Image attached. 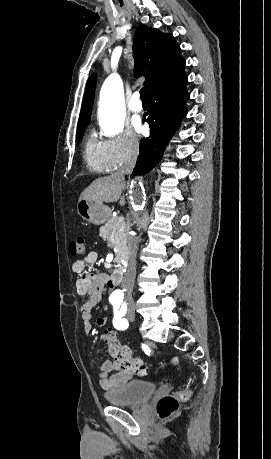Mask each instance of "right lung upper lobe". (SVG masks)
I'll return each instance as SVG.
<instances>
[{
	"mask_svg": "<svg viewBox=\"0 0 271 459\" xmlns=\"http://www.w3.org/2000/svg\"><path fill=\"white\" fill-rule=\"evenodd\" d=\"M135 77L146 78L148 93L162 81L184 71L185 60L172 34H164L146 25H140L134 43ZM96 77L92 75L85 89L79 121L90 120Z\"/></svg>",
	"mask_w": 271,
	"mask_h": 459,
	"instance_id": "right-lung-upper-lobe-1",
	"label": "right lung upper lobe"
}]
</instances>
